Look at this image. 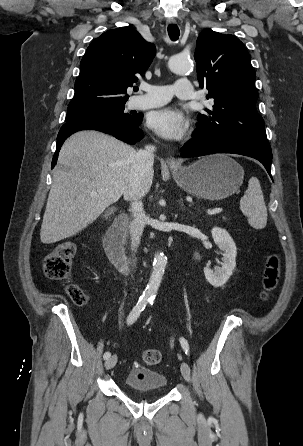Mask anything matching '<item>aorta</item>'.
Segmentation results:
<instances>
[{"label":"aorta","instance_id":"762f6f07","mask_svg":"<svg viewBox=\"0 0 303 446\" xmlns=\"http://www.w3.org/2000/svg\"><path fill=\"white\" fill-rule=\"evenodd\" d=\"M169 68L176 74H186L191 71L193 65L186 59L179 56H174L169 60ZM167 265V257L163 252H157L153 261V270L143 293V297L146 300H153L156 297L158 289L160 287L162 277Z\"/></svg>","mask_w":303,"mask_h":446}]
</instances>
